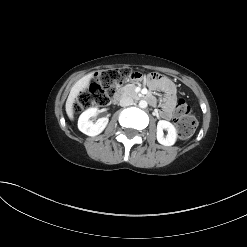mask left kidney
<instances>
[{"label":"left kidney","mask_w":247,"mask_h":247,"mask_svg":"<svg viewBox=\"0 0 247 247\" xmlns=\"http://www.w3.org/2000/svg\"><path fill=\"white\" fill-rule=\"evenodd\" d=\"M166 129L168 134L164 137L163 130ZM177 132L174 125L168 121L160 120L157 124V141L164 146H172L176 142Z\"/></svg>","instance_id":"obj_1"}]
</instances>
